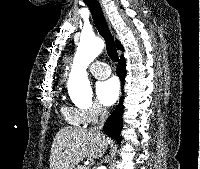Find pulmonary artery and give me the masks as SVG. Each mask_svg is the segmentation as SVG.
Masks as SVG:
<instances>
[{
    "mask_svg": "<svg viewBox=\"0 0 200 169\" xmlns=\"http://www.w3.org/2000/svg\"><path fill=\"white\" fill-rule=\"evenodd\" d=\"M90 72L95 78L98 79L107 78L111 74L109 66L102 61L94 62L90 67Z\"/></svg>",
    "mask_w": 200,
    "mask_h": 169,
    "instance_id": "pulmonary-artery-1",
    "label": "pulmonary artery"
}]
</instances>
